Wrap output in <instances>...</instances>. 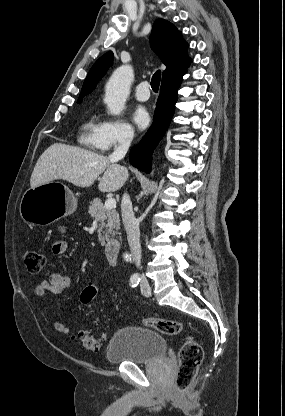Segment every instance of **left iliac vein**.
Masks as SVG:
<instances>
[{
	"mask_svg": "<svg viewBox=\"0 0 285 416\" xmlns=\"http://www.w3.org/2000/svg\"><path fill=\"white\" fill-rule=\"evenodd\" d=\"M140 288H141V292H142L143 295H145L146 297L150 296L151 289H150L149 283L147 281H142L141 285H140Z\"/></svg>",
	"mask_w": 285,
	"mask_h": 416,
	"instance_id": "obj_1",
	"label": "left iliac vein"
}]
</instances>
